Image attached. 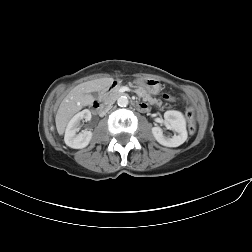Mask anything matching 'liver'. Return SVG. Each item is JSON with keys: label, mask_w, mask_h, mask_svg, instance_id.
<instances>
[{"label": "liver", "mask_w": 252, "mask_h": 252, "mask_svg": "<svg viewBox=\"0 0 252 252\" xmlns=\"http://www.w3.org/2000/svg\"><path fill=\"white\" fill-rule=\"evenodd\" d=\"M112 83V78H102L84 82L73 88L61 102L57 111L55 121L58 132H63L68 120L76 112L93 102L94 98L91 92L105 90L110 87Z\"/></svg>", "instance_id": "1"}]
</instances>
